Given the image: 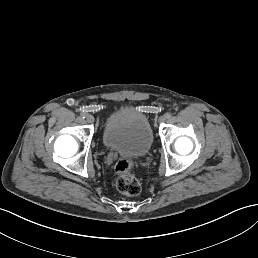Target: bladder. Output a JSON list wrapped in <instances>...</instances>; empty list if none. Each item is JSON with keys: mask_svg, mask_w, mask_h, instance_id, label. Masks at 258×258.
Instances as JSON below:
<instances>
[{"mask_svg": "<svg viewBox=\"0 0 258 258\" xmlns=\"http://www.w3.org/2000/svg\"><path fill=\"white\" fill-rule=\"evenodd\" d=\"M104 145L121 158L135 160L144 156L153 141L147 116L140 110L123 108L112 112L103 127Z\"/></svg>", "mask_w": 258, "mask_h": 258, "instance_id": "31cf9c89", "label": "bladder"}]
</instances>
